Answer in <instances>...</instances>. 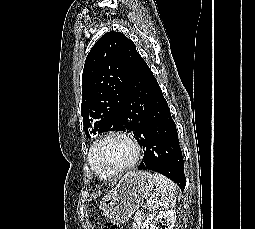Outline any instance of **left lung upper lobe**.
Here are the masks:
<instances>
[{"label": "left lung upper lobe", "mask_w": 255, "mask_h": 229, "mask_svg": "<svg viewBox=\"0 0 255 229\" xmlns=\"http://www.w3.org/2000/svg\"><path fill=\"white\" fill-rule=\"evenodd\" d=\"M140 59L135 44L120 32H107L94 44L82 74L81 116L86 135L127 131L120 115Z\"/></svg>", "instance_id": "left-lung-upper-lobe-1"}]
</instances>
